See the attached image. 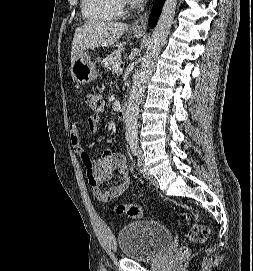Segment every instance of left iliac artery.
I'll list each match as a JSON object with an SVG mask.
<instances>
[{
	"mask_svg": "<svg viewBox=\"0 0 253 271\" xmlns=\"http://www.w3.org/2000/svg\"><path fill=\"white\" fill-rule=\"evenodd\" d=\"M129 144H130V148H131V150H132V153H133L134 155H136V150H137V146H138V141H137V140H131V141L129 142Z\"/></svg>",
	"mask_w": 253,
	"mask_h": 271,
	"instance_id": "obj_1",
	"label": "left iliac artery"
}]
</instances>
